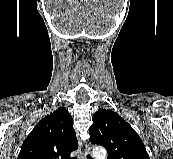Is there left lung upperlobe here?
I'll return each mask as SVG.
<instances>
[{
    "label": "left lung upper lobe",
    "mask_w": 173,
    "mask_h": 159,
    "mask_svg": "<svg viewBox=\"0 0 173 159\" xmlns=\"http://www.w3.org/2000/svg\"><path fill=\"white\" fill-rule=\"evenodd\" d=\"M92 120L90 141L107 149V159H150L139 135L116 112L99 109Z\"/></svg>",
    "instance_id": "left-lung-upper-lobe-1"
}]
</instances>
